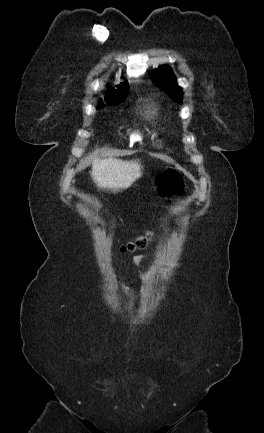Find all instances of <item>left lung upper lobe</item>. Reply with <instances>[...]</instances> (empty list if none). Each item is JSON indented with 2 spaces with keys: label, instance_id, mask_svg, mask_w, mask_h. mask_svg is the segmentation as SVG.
Returning <instances> with one entry per match:
<instances>
[{
  "label": "left lung upper lobe",
  "instance_id": "left-lung-upper-lobe-1",
  "mask_svg": "<svg viewBox=\"0 0 264 433\" xmlns=\"http://www.w3.org/2000/svg\"><path fill=\"white\" fill-rule=\"evenodd\" d=\"M153 83L162 89L168 96L177 103H182V93L177 86L176 77L169 66L163 65L150 73Z\"/></svg>",
  "mask_w": 264,
  "mask_h": 433
}]
</instances>
